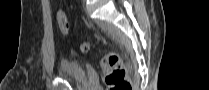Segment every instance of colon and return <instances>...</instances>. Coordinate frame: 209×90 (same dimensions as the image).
<instances>
[{
  "mask_svg": "<svg viewBox=\"0 0 209 90\" xmlns=\"http://www.w3.org/2000/svg\"><path fill=\"white\" fill-rule=\"evenodd\" d=\"M57 23L61 33L66 35L69 32L70 24L62 10L58 12ZM82 49L89 50V45L83 44ZM100 64L109 90H132V84L127 77V70L120 54L109 52L102 57Z\"/></svg>",
  "mask_w": 209,
  "mask_h": 90,
  "instance_id": "5ec220e1",
  "label": "colon"
}]
</instances>
